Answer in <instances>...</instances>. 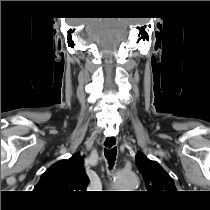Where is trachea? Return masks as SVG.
Segmentation results:
<instances>
[{
  "mask_svg": "<svg viewBox=\"0 0 210 210\" xmlns=\"http://www.w3.org/2000/svg\"><path fill=\"white\" fill-rule=\"evenodd\" d=\"M105 157L109 162V165L112 167L115 162L116 154H117V148L114 147L113 149H105L104 150Z\"/></svg>",
  "mask_w": 210,
  "mask_h": 210,
  "instance_id": "1",
  "label": "trachea"
}]
</instances>
